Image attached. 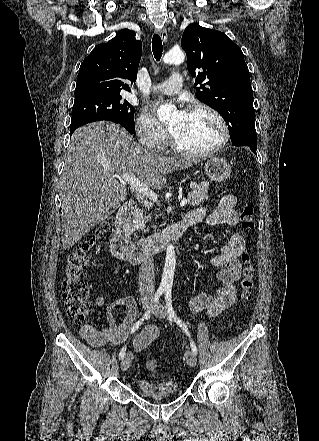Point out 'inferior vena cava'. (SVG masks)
Listing matches in <instances>:
<instances>
[{"label":"inferior vena cava","mask_w":319,"mask_h":441,"mask_svg":"<svg viewBox=\"0 0 319 441\" xmlns=\"http://www.w3.org/2000/svg\"><path fill=\"white\" fill-rule=\"evenodd\" d=\"M154 260L152 255H148L139 270V291L143 297L151 298L154 295Z\"/></svg>","instance_id":"602c4592"}]
</instances>
